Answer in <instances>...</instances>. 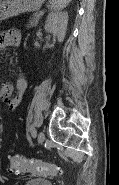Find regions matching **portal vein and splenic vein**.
Segmentation results:
<instances>
[{
	"instance_id": "1",
	"label": "portal vein and splenic vein",
	"mask_w": 119,
	"mask_h": 185,
	"mask_svg": "<svg viewBox=\"0 0 119 185\" xmlns=\"http://www.w3.org/2000/svg\"><path fill=\"white\" fill-rule=\"evenodd\" d=\"M43 13H44L43 11H40V15H43Z\"/></svg>"
}]
</instances>
